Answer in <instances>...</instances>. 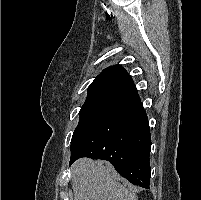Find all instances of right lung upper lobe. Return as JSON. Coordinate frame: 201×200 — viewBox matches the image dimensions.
<instances>
[{
	"instance_id": "cb5924a9",
	"label": "right lung upper lobe",
	"mask_w": 201,
	"mask_h": 200,
	"mask_svg": "<svg viewBox=\"0 0 201 200\" xmlns=\"http://www.w3.org/2000/svg\"><path fill=\"white\" fill-rule=\"evenodd\" d=\"M110 92L134 100L139 97L138 91L127 71L119 66L104 69L91 83L88 93Z\"/></svg>"
}]
</instances>
